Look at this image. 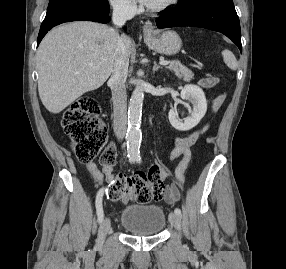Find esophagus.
Instances as JSON below:
<instances>
[{"mask_svg": "<svg viewBox=\"0 0 286 269\" xmlns=\"http://www.w3.org/2000/svg\"><path fill=\"white\" fill-rule=\"evenodd\" d=\"M153 31H154V26L151 23L147 22L144 24L143 26L144 36H150Z\"/></svg>", "mask_w": 286, "mask_h": 269, "instance_id": "esophagus-1", "label": "esophagus"}]
</instances>
